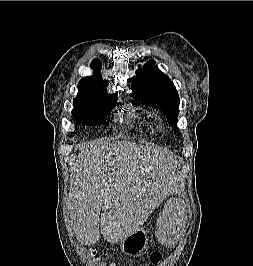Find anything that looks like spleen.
<instances>
[{
    "label": "spleen",
    "mask_w": 253,
    "mask_h": 266,
    "mask_svg": "<svg viewBox=\"0 0 253 266\" xmlns=\"http://www.w3.org/2000/svg\"><path fill=\"white\" fill-rule=\"evenodd\" d=\"M183 207H166L157 217V235L164 246H177L184 223Z\"/></svg>",
    "instance_id": "obj_1"
}]
</instances>
